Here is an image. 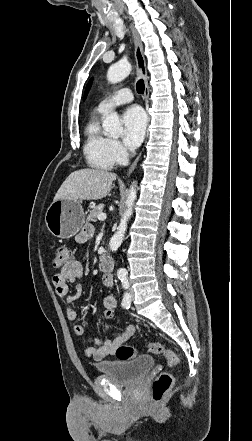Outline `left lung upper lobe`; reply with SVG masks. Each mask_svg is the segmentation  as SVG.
<instances>
[{"mask_svg": "<svg viewBox=\"0 0 252 441\" xmlns=\"http://www.w3.org/2000/svg\"><path fill=\"white\" fill-rule=\"evenodd\" d=\"M91 82H92V80H91V81L87 84V86H86L85 94H84V100H85V98H86V96H87V94H88V91H89L90 87H91Z\"/></svg>", "mask_w": 252, "mask_h": 441, "instance_id": "obj_1", "label": "left lung upper lobe"}]
</instances>
